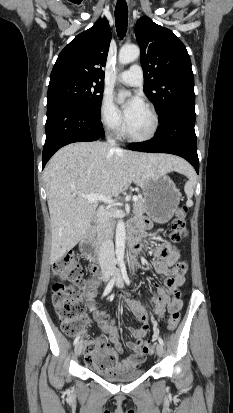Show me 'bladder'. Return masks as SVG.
<instances>
[{
  "label": "bladder",
  "mask_w": 233,
  "mask_h": 413,
  "mask_svg": "<svg viewBox=\"0 0 233 413\" xmlns=\"http://www.w3.org/2000/svg\"><path fill=\"white\" fill-rule=\"evenodd\" d=\"M145 371L140 368L129 369L125 371H120L114 374H101V376L111 382H125L140 378Z\"/></svg>",
  "instance_id": "obj_1"
}]
</instances>
